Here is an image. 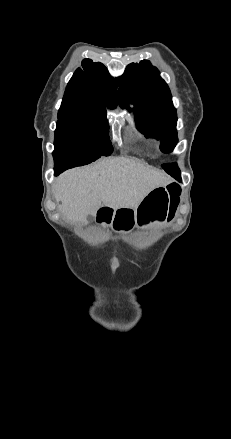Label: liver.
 I'll list each match as a JSON object with an SVG mask.
<instances>
[{
    "label": "liver",
    "instance_id": "liver-1",
    "mask_svg": "<svg viewBox=\"0 0 231 439\" xmlns=\"http://www.w3.org/2000/svg\"><path fill=\"white\" fill-rule=\"evenodd\" d=\"M170 182L162 170L116 157L66 171L57 178L54 195L67 219L86 224L88 215L94 216L102 205L114 210L136 208L151 190Z\"/></svg>",
    "mask_w": 231,
    "mask_h": 439
}]
</instances>
